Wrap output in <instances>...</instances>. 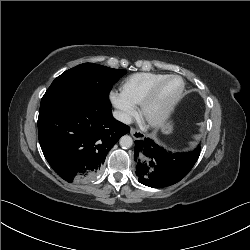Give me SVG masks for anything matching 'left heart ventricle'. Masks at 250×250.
I'll return each instance as SVG.
<instances>
[{"label": "left heart ventricle", "instance_id": "b2bd125f", "mask_svg": "<svg viewBox=\"0 0 250 250\" xmlns=\"http://www.w3.org/2000/svg\"><path fill=\"white\" fill-rule=\"evenodd\" d=\"M182 83L179 79H171L167 81L159 90L158 95L149 109L151 116L160 114L168 105V103L177 95L181 89Z\"/></svg>", "mask_w": 250, "mask_h": 250}]
</instances>
